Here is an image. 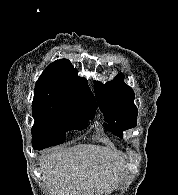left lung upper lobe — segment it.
I'll use <instances>...</instances> for the list:
<instances>
[{"instance_id": "obj_1", "label": "left lung upper lobe", "mask_w": 178, "mask_h": 195, "mask_svg": "<svg viewBox=\"0 0 178 195\" xmlns=\"http://www.w3.org/2000/svg\"><path fill=\"white\" fill-rule=\"evenodd\" d=\"M123 74L115 80L101 84L94 82L95 95L100 110L114 134L122 137V131L136 126L138 110L134 104L135 95L130 86L124 83Z\"/></svg>"}]
</instances>
